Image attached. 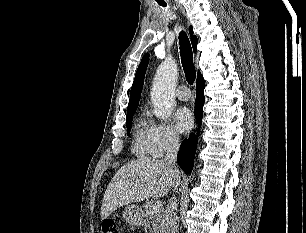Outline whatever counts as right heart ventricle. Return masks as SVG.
Instances as JSON below:
<instances>
[{
    "instance_id": "1",
    "label": "right heart ventricle",
    "mask_w": 306,
    "mask_h": 233,
    "mask_svg": "<svg viewBox=\"0 0 306 233\" xmlns=\"http://www.w3.org/2000/svg\"><path fill=\"white\" fill-rule=\"evenodd\" d=\"M150 125L145 116H141L133 131L132 152L140 158L151 155Z\"/></svg>"
}]
</instances>
